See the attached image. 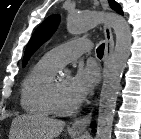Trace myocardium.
I'll return each mask as SVG.
<instances>
[{
	"label": "myocardium",
	"mask_w": 141,
	"mask_h": 139,
	"mask_svg": "<svg viewBox=\"0 0 141 139\" xmlns=\"http://www.w3.org/2000/svg\"><path fill=\"white\" fill-rule=\"evenodd\" d=\"M49 102L52 108L53 113L58 115H69L76 112L79 108L78 104L72 106H64L59 98L57 78L53 77L50 85H49Z\"/></svg>",
	"instance_id": "obj_1"
}]
</instances>
